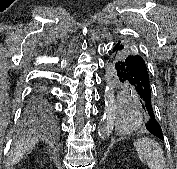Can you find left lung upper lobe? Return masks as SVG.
<instances>
[{
    "mask_svg": "<svg viewBox=\"0 0 177 169\" xmlns=\"http://www.w3.org/2000/svg\"><path fill=\"white\" fill-rule=\"evenodd\" d=\"M122 49L119 51L118 55H117V59H122L127 55L130 54H134V55H141V51L139 50V48L133 44V43H125L124 45H122Z\"/></svg>",
    "mask_w": 177,
    "mask_h": 169,
    "instance_id": "5c2ea615",
    "label": "left lung upper lobe"
}]
</instances>
